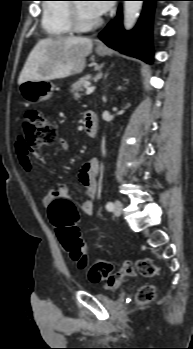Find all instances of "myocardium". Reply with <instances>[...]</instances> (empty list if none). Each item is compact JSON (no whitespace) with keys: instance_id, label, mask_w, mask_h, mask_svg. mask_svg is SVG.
I'll return each instance as SVG.
<instances>
[{"instance_id":"myocardium-1","label":"myocardium","mask_w":193,"mask_h":349,"mask_svg":"<svg viewBox=\"0 0 193 349\" xmlns=\"http://www.w3.org/2000/svg\"><path fill=\"white\" fill-rule=\"evenodd\" d=\"M69 21L72 30L75 32L89 31L101 23V19L98 16L86 20L82 15L79 2H73L69 5Z\"/></svg>"}]
</instances>
